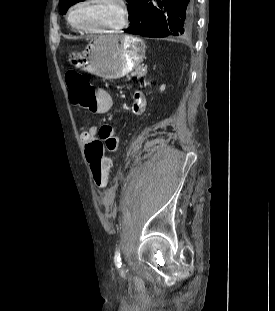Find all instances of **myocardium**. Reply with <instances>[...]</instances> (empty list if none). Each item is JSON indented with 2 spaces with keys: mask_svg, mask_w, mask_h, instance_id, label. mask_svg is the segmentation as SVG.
Instances as JSON below:
<instances>
[{
  "mask_svg": "<svg viewBox=\"0 0 275 311\" xmlns=\"http://www.w3.org/2000/svg\"><path fill=\"white\" fill-rule=\"evenodd\" d=\"M91 1L93 0H78L69 7L66 13V21H67V24L72 29L79 31V32H85V33H106V32L118 31L126 25L129 12H128V8L124 0H104L106 2L114 4L118 10V18L114 23L101 25V26H94V27H83V26L74 25L71 20V15L73 11L77 7L85 3L91 2Z\"/></svg>",
  "mask_w": 275,
  "mask_h": 311,
  "instance_id": "obj_1",
  "label": "myocardium"
}]
</instances>
